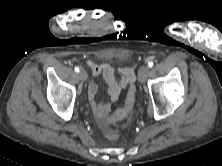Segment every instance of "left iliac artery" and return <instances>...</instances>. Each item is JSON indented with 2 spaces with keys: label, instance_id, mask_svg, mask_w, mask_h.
I'll use <instances>...</instances> for the list:
<instances>
[{
  "label": "left iliac artery",
  "instance_id": "left-iliac-artery-1",
  "mask_svg": "<svg viewBox=\"0 0 222 166\" xmlns=\"http://www.w3.org/2000/svg\"><path fill=\"white\" fill-rule=\"evenodd\" d=\"M153 65H154L153 61H150V62L148 63V67H149V68L153 67Z\"/></svg>",
  "mask_w": 222,
  "mask_h": 166
}]
</instances>
